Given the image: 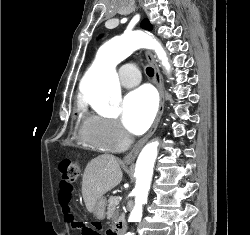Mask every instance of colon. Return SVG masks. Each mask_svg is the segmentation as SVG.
<instances>
[{
	"instance_id": "obj_1",
	"label": "colon",
	"mask_w": 250,
	"mask_h": 235,
	"mask_svg": "<svg viewBox=\"0 0 250 235\" xmlns=\"http://www.w3.org/2000/svg\"><path fill=\"white\" fill-rule=\"evenodd\" d=\"M81 173V165L74 160L64 159L59 164V191L71 192L72 183L76 181ZM66 222H69L75 229L82 231L85 235H91L90 230L82 227L72 214H65Z\"/></svg>"
}]
</instances>
